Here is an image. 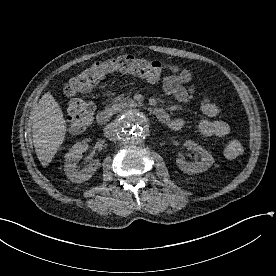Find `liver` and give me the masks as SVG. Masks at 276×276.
I'll list each match as a JSON object with an SVG mask.
<instances>
[{
  "label": "liver",
  "instance_id": "obj_1",
  "mask_svg": "<svg viewBox=\"0 0 276 276\" xmlns=\"http://www.w3.org/2000/svg\"><path fill=\"white\" fill-rule=\"evenodd\" d=\"M33 143L43 167L53 160L64 142L67 125L59 103L49 92L45 93L31 111Z\"/></svg>",
  "mask_w": 276,
  "mask_h": 276
}]
</instances>
